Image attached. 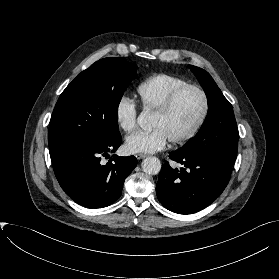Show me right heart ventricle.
<instances>
[{
  "mask_svg": "<svg viewBox=\"0 0 279 279\" xmlns=\"http://www.w3.org/2000/svg\"><path fill=\"white\" fill-rule=\"evenodd\" d=\"M185 84L188 82L180 77L163 73L155 74L138 85L137 94L142 107L154 112L174 89Z\"/></svg>",
  "mask_w": 279,
  "mask_h": 279,
  "instance_id": "e07e8e85",
  "label": "right heart ventricle"
}]
</instances>
